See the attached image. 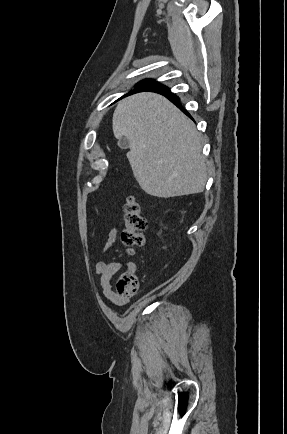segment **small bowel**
I'll list each match as a JSON object with an SVG mask.
<instances>
[{
	"instance_id": "obj_1",
	"label": "small bowel",
	"mask_w": 287,
	"mask_h": 434,
	"mask_svg": "<svg viewBox=\"0 0 287 434\" xmlns=\"http://www.w3.org/2000/svg\"><path fill=\"white\" fill-rule=\"evenodd\" d=\"M116 238L117 229L112 228L109 231L107 239L103 245L104 252H107L113 246V244L116 242ZM124 267L129 270L134 269L132 264L124 263L123 261L118 260L110 262L100 261L96 264V273L103 293L106 298L115 305H123L128 302V299L119 297L112 289L113 276Z\"/></svg>"
}]
</instances>
